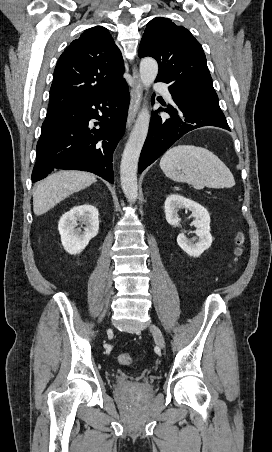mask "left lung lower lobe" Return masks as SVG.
<instances>
[{"label": "left lung lower lobe", "instance_id": "1", "mask_svg": "<svg viewBox=\"0 0 272 452\" xmlns=\"http://www.w3.org/2000/svg\"><path fill=\"white\" fill-rule=\"evenodd\" d=\"M169 91L175 106L159 108V111L169 113L171 118H161L157 111L152 114L148 136L140 155L139 173L189 131L203 126H215L230 131L220 109L218 97L172 87H169Z\"/></svg>", "mask_w": 272, "mask_h": 452}]
</instances>
